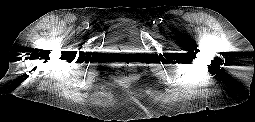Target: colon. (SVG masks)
<instances>
[{"label": "colon", "instance_id": "obj_1", "mask_svg": "<svg viewBox=\"0 0 255 122\" xmlns=\"http://www.w3.org/2000/svg\"><path fill=\"white\" fill-rule=\"evenodd\" d=\"M118 73L121 78L131 80L136 76V70L130 63H123L119 66Z\"/></svg>", "mask_w": 255, "mask_h": 122}]
</instances>
